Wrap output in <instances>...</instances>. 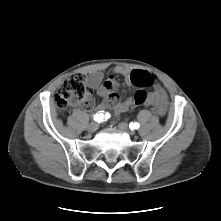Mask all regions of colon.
I'll list each match as a JSON object with an SVG mask.
<instances>
[{"label":"colon","instance_id":"colon-1","mask_svg":"<svg viewBox=\"0 0 221 221\" xmlns=\"http://www.w3.org/2000/svg\"><path fill=\"white\" fill-rule=\"evenodd\" d=\"M131 79L140 88L134 94V103L135 105H142L148 97L143 88L151 86L154 78L150 74L133 71ZM55 102L61 113H65L70 107L77 104H83L86 108H90L93 100L90 97V88L86 84L85 77L81 74L67 77L55 95Z\"/></svg>","mask_w":221,"mask_h":221}]
</instances>
